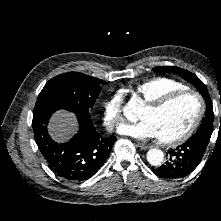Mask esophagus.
<instances>
[{
  "label": "esophagus",
  "mask_w": 221,
  "mask_h": 221,
  "mask_svg": "<svg viewBox=\"0 0 221 221\" xmlns=\"http://www.w3.org/2000/svg\"><path fill=\"white\" fill-rule=\"evenodd\" d=\"M136 145H137V147H139L142 150H146L149 148V145L141 143V142H137Z\"/></svg>",
  "instance_id": "34e87169"
}]
</instances>
